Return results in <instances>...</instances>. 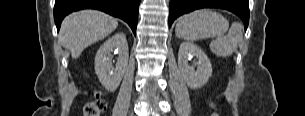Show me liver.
Instances as JSON below:
<instances>
[{
  "label": "liver",
  "instance_id": "obj_1",
  "mask_svg": "<svg viewBox=\"0 0 305 116\" xmlns=\"http://www.w3.org/2000/svg\"><path fill=\"white\" fill-rule=\"evenodd\" d=\"M118 26L117 19L97 10H82L68 15L62 22L59 40L77 59L89 45L104 39Z\"/></svg>",
  "mask_w": 305,
  "mask_h": 116
}]
</instances>
